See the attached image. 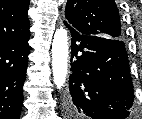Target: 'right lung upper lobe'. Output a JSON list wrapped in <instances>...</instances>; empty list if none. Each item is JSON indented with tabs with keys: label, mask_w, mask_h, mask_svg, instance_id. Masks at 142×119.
<instances>
[{
	"label": "right lung upper lobe",
	"mask_w": 142,
	"mask_h": 119,
	"mask_svg": "<svg viewBox=\"0 0 142 119\" xmlns=\"http://www.w3.org/2000/svg\"><path fill=\"white\" fill-rule=\"evenodd\" d=\"M29 0H0V45L30 34Z\"/></svg>",
	"instance_id": "cb5924a9"
}]
</instances>
